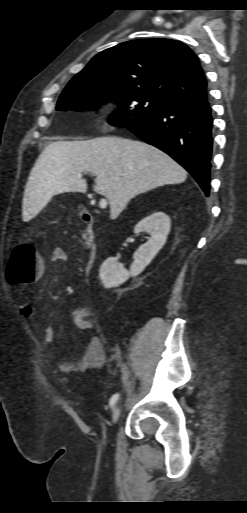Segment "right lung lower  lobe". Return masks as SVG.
Listing matches in <instances>:
<instances>
[{
  "label": "right lung lower lobe",
  "mask_w": 247,
  "mask_h": 513,
  "mask_svg": "<svg viewBox=\"0 0 247 513\" xmlns=\"http://www.w3.org/2000/svg\"><path fill=\"white\" fill-rule=\"evenodd\" d=\"M212 123L211 109L204 97L168 104L147 120L127 128L181 164L209 196Z\"/></svg>",
  "instance_id": "98d812e1"
}]
</instances>
